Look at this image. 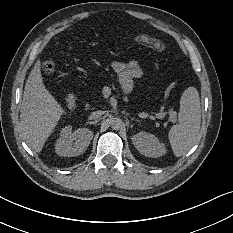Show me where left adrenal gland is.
Segmentation results:
<instances>
[{
    "mask_svg": "<svg viewBox=\"0 0 233 233\" xmlns=\"http://www.w3.org/2000/svg\"><path fill=\"white\" fill-rule=\"evenodd\" d=\"M131 119H132V120H135V121H138V119H137V118H134V117H131Z\"/></svg>",
    "mask_w": 233,
    "mask_h": 233,
    "instance_id": "a2214340",
    "label": "left adrenal gland"
}]
</instances>
